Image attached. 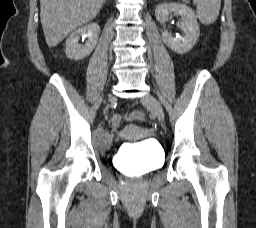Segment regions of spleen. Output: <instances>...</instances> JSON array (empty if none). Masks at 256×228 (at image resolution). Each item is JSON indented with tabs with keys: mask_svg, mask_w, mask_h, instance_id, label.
Instances as JSON below:
<instances>
[{
	"mask_svg": "<svg viewBox=\"0 0 256 228\" xmlns=\"http://www.w3.org/2000/svg\"><path fill=\"white\" fill-rule=\"evenodd\" d=\"M197 8V16L204 25L214 23L219 15L221 0H193Z\"/></svg>",
	"mask_w": 256,
	"mask_h": 228,
	"instance_id": "obj_1",
	"label": "spleen"
}]
</instances>
